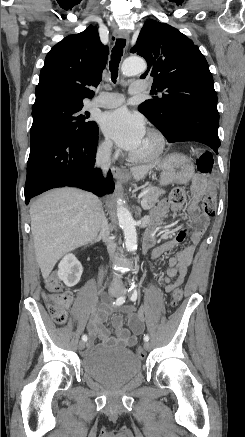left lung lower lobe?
Segmentation results:
<instances>
[{"label":"left lung lower lobe","instance_id":"left-lung-lower-lobe-1","mask_svg":"<svg viewBox=\"0 0 245 437\" xmlns=\"http://www.w3.org/2000/svg\"><path fill=\"white\" fill-rule=\"evenodd\" d=\"M175 124L173 133L166 137L168 142L196 141L206 144L218 154L219 120L198 111H185L177 117Z\"/></svg>","mask_w":245,"mask_h":437}]
</instances>
